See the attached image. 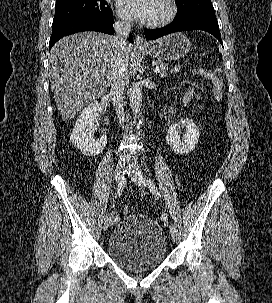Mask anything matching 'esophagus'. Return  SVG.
I'll use <instances>...</instances> for the list:
<instances>
[{
	"mask_svg": "<svg viewBox=\"0 0 272 303\" xmlns=\"http://www.w3.org/2000/svg\"><path fill=\"white\" fill-rule=\"evenodd\" d=\"M134 43H135V46L139 47V48L146 47L148 45L147 42L145 41L144 37L140 34H138L136 36Z\"/></svg>",
	"mask_w": 272,
	"mask_h": 303,
	"instance_id": "obj_1",
	"label": "esophagus"
}]
</instances>
